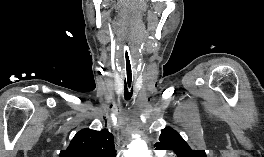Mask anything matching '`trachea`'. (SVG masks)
Masks as SVG:
<instances>
[{"label":"trachea","mask_w":264,"mask_h":157,"mask_svg":"<svg viewBox=\"0 0 264 157\" xmlns=\"http://www.w3.org/2000/svg\"><path fill=\"white\" fill-rule=\"evenodd\" d=\"M123 79H124V97L131 99L133 95L134 69L131 52L128 46L123 47Z\"/></svg>","instance_id":"3493384b"}]
</instances>
